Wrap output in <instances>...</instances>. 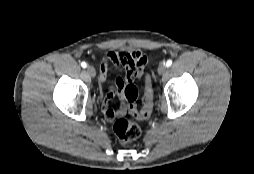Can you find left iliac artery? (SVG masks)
<instances>
[{
    "label": "left iliac artery",
    "mask_w": 254,
    "mask_h": 174,
    "mask_svg": "<svg viewBox=\"0 0 254 174\" xmlns=\"http://www.w3.org/2000/svg\"><path fill=\"white\" fill-rule=\"evenodd\" d=\"M171 65H172V60H168V61L166 62V66L169 67V66H171Z\"/></svg>",
    "instance_id": "obj_1"
}]
</instances>
